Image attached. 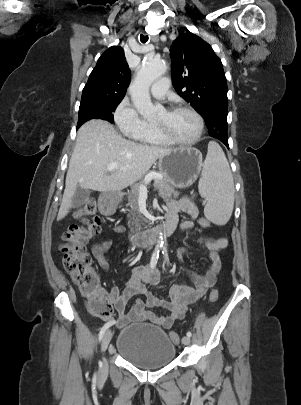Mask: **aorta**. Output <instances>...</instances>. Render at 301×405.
I'll use <instances>...</instances> for the list:
<instances>
[{"label":"aorta","instance_id":"1","mask_svg":"<svg viewBox=\"0 0 301 405\" xmlns=\"http://www.w3.org/2000/svg\"><path fill=\"white\" fill-rule=\"evenodd\" d=\"M167 70L166 63L158 59L144 60L141 69L130 86V95L137 111L148 116L155 110L149 93L151 84ZM164 245L163 234L160 232L157 247Z\"/></svg>","mask_w":301,"mask_h":405}]
</instances>
